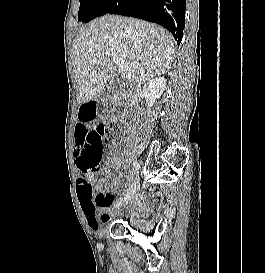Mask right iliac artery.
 Segmentation results:
<instances>
[{"label": "right iliac artery", "instance_id": "82829eb1", "mask_svg": "<svg viewBox=\"0 0 265 273\" xmlns=\"http://www.w3.org/2000/svg\"><path fill=\"white\" fill-rule=\"evenodd\" d=\"M133 166H134V169H135V174L138 173V171L140 169V165L136 160L133 161Z\"/></svg>", "mask_w": 265, "mask_h": 273}]
</instances>
